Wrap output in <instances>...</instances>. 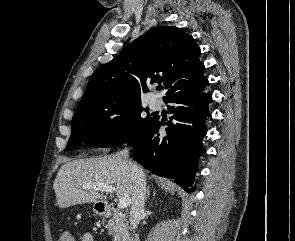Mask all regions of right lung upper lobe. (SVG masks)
<instances>
[{
  "mask_svg": "<svg viewBox=\"0 0 295 241\" xmlns=\"http://www.w3.org/2000/svg\"><path fill=\"white\" fill-rule=\"evenodd\" d=\"M193 37L174 26L155 27L127 45L113 60L96 70L80 100L94 103L118 98L141 102L147 84L163 83V100L206 81Z\"/></svg>",
  "mask_w": 295,
  "mask_h": 241,
  "instance_id": "cb5924a9",
  "label": "right lung upper lobe"
}]
</instances>
